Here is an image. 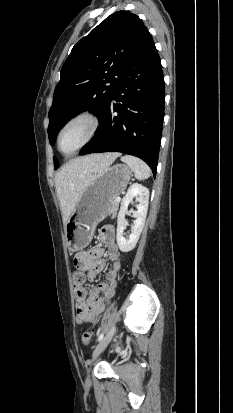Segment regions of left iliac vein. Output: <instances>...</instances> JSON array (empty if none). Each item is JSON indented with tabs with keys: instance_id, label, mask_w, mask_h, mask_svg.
Returning <instances> with one entry per match:
<instances>
[{
	"instance_id": "4c4485c4",
	"label": "left iliac vein",
	"mask_w": 233,
	"mask_h": 413,
	"mask_svg": "<svg viewBox=\"0 0 233 413\" xmlns=\"http://www.w3.org/2000/svg\"><path fill=\"white\" fill-rule=\"evenodd\" d=\"M116 331V326H112L110 330L107 332V334L102 338V340L99 342V344L96 346L93 355H92V360L89 362V365L93 363V361L104 351V349L108 346L110 341L112 340L114 334ZM88 369V373H89ZM89 379V375H88Z\"/></svg>"
}]
</instances>
